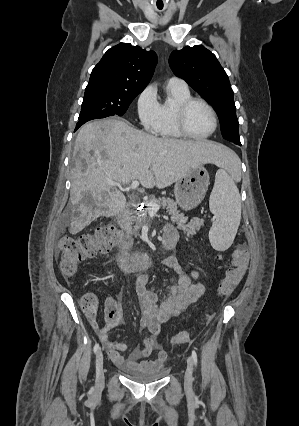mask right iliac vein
Returning a JSON list of instances; mask_svg holds the SVG:
<instances>
[{
  "mask_svg": "<svg viewBox=\"0 0 299 426\" xmlns=\"http://www.w3.org/2000/svg\"><path fill=\"white\" fill-rule=\"evenodd\" d=\"M96 382L98 386L104 384L103 353L101 350L96 355Z\"/></svg>",
  "mask_w": 299,
  "mask_h": 426,
  "instance_id": "obj_1",
  "label": "right iliac vein"
}]
</instances>
